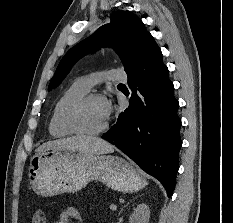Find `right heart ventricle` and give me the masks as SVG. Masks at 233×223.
I'll return each mask as SVG.
<instances>
[{
  "mask_svg": "<svg viewBox=\"0 0 233 223\" xmlns=\"http://www.w3.org/2000/svg\"><path fill=\"white\" fill-rule=\"evenodd\" d=\"M87 92L79 81H75L61 93L49 119L48 129L51 137L64 138L73 135L65 124V113L75 100L83 97Z\"/></svg>",
  "mask_w": 233,
  "mask_h": 223,
  "instance_id": "1",
  "label": "right heart ventricle"
}]
</instances>
